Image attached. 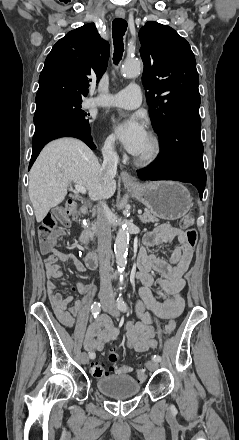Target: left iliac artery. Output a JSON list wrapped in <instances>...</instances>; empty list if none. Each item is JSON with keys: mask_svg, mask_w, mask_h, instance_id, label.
Instances as JSON below:
<instances>
[{"mask_svg": "<svg viewBox=\"0 0 239 440\" xmlns=\"http://www.w3.org/2000/svg\"><path fill=\"white\" fill-rule=\"evenodd\" d=\"M117 307L119 310L126 312L128 307L126 302L123 299L122 294L119 295V298L117 299ZM152 360L156 361V362H160L161 361V357L159 355H154L152 356Z\"/></svg>", "mask_w": 239, "mask_h": 440, "instance_id": "1", "label": "left iliac artery"}]
</instances>
